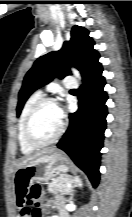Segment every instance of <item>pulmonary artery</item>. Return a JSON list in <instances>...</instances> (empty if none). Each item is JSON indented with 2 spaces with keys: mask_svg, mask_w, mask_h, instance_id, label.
Segmentation results:
<instances>
[{
  "mask_svg": "<svg viewBox=\"0 0 132 217\" xmlns=\"http://www.w3.org/2000/svg\"><path fill=\"white\" fill-rule=\"evenodd\" d=\"M64 85L67 87V88H75L77 85L75 83V81L71 78H67L65 81H64Z\"/></svg>",
  "mask_w": 132,
  "mask_h": 217,
  "instance_id": "e3ab8cb5",
  "label": "pulmonary artery"
}]
</instances>
